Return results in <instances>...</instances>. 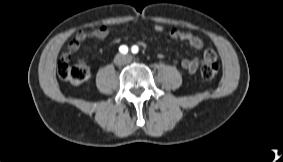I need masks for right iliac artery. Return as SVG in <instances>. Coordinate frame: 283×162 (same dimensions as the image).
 Wrapping results in <instances>:
<instances>
[{"label": "right iliac artery", "mask_w": 283, "mask_h": 162, "mask_svg": "<svg viewBox=\"0 0 283 162\" xmlns=\"http://www.w3.org/2000/svg\"><path fill=\"white\" fill-rule=\"evenodd\" d=\"M119 51L123 54H126L128 52V47L125 45L120 46Z\"/></svg>", "instance_id": "1"}]
</instances>
